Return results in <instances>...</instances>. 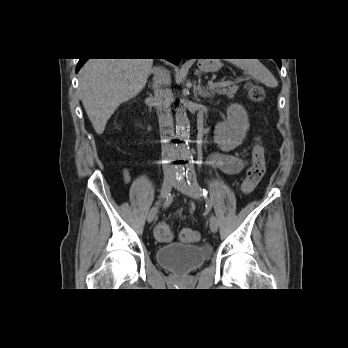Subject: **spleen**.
I'll list each match as a JSON object with an SVG mask.
<instances>
[{
  "label": "spleen",
  "instance_id": "1",
  "mask_svg": "<svg viewBox=\"0 0 348 348\" xmlns=\"http://www.w3.org/2000/svg\"><path fill=\"white\" fill-rule=\"evenodd\" d=\"M230 63L247 71L248 74L267 87L275 88L278 86L275 77L258 59H231Z\"/></svg>",
  "mask_w": 348,
  "mask_h": 348
}]
</instances>
